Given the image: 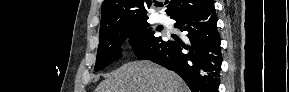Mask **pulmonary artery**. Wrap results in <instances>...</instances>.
Instances as JSON below:
<instances>
[{"label":"pulmonary artery","mask_w":289,"mask_h":92,"mask_svg":"<svg viewBox=\"0 0 289 92\" xmlns=\"http://www.w3.org/2000/svg\"><path fill=\"white\" fill-rule=\"evenodd\" d=\"M158 21H159L160 23H165V22H166V17H165L164 15H159V16H158Z\"/></svg>","instance_id":"obj_1"}]
</instances>
